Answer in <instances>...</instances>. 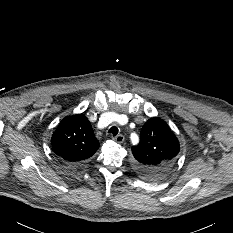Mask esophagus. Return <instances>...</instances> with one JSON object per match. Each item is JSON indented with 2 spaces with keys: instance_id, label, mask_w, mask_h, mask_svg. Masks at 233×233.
Listing matches in <instances>:
<instances>
[{
  "instance_id": "obj_1",
  "label": "esophagus",
  "mask_w": 233,
  "mask_h": 233,
  "mask_svg": "<svg viewBox=\"0 0 233 233\" xmlns=\"http://www.w3.org/2000/svg\"><path fill=\"white\" fill-rule=\"evenodd\" d=\"M113 139L117 142V143H122L124 141V136L122 134H118L115 137H113Z\"/></svg>"
}]
</instances>
